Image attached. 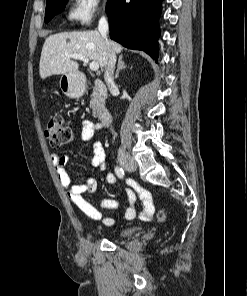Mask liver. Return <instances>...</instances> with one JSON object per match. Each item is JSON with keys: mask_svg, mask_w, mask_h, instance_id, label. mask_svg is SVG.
I'll use <instances>...</instances> for the list:
<instances>
[{"mask_svg": "<svg viewBox=\"0 0 247 296\" xmlns=\"http://www.w3.org/2000/svg\"><path fill=\"white\" fill-rule=\"evenodd\" d=\"M122 49V46L114 41H109L107 45L96 30L53 34L48 36L43 44L39 74L42 79L51 75L77 74L79 64L67 56L74 53L97 62L103 71L107 65L109 51L120 53Z\"/></svg>", "mask_w": 247, "mask_h": 296, "instance_id": "1", "label": "liver"}]
</instances>
